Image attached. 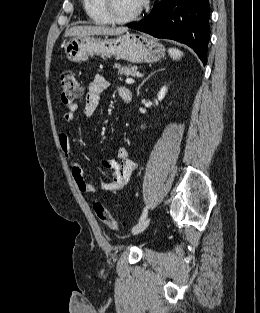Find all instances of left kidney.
<instances>
[{
    "mask_svg": "<svg viewBox=\"0 0 260 313\" xmlns=\"http://www.w3.org/2000/svg\"><path fill=\"white\" fill-rule=\"evenodd\" d=\"M166 92H167V87L163 86V87L160 89V91H159V93H158V95H157L159 101H162V100H163V98L165 97Z\"/></svg>",
    "mask_w": 260,
    "mask_h": 313,
    "instance_id": "5707ae66",
    "label": "left kidney"
}]
</instances>
